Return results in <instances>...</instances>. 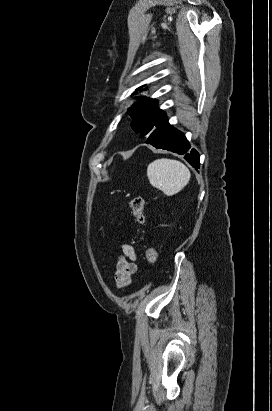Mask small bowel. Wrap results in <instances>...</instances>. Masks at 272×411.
Returning a JSON list of instances; mask_svg holds the SVG:
<instances>
[{
    "instance_id": "obj_1",
    "label": "small bowel",
    "mask_w": 272,
    "mask_h": 411,
    "mask_svg": "<svg viewBox=\"0 0 272 411\" xmlns=\"http://www.w3.org/2000/svg\"><path fill=\"white\" fill-rule=\"evenodd\" d=\"M119 248L121 254L115 263L114 280L118 289H125L130 286L132 277L137 273V255L132 245L122 243Z\"/></svg>"
}]
</instances>
